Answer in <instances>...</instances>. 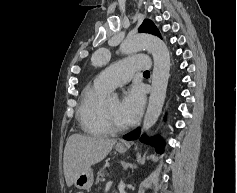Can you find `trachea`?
I'll list each match as a JSON object with an SVG mask.
<instances>
[{
	"label": "trachea",
	"mask_w": 237,
	"mask_h": 193,
	"mask_svg": "<svg viewBox=\"0 0 237 193\" xmlns=\"http://www.w3.org/2000/svg\"><path fill=\"white\" fill-rule=\"evenodd\" d=\"M144 74L150 75V72L149 71H145Z\"/></svg>",
	"instance_id": "1"
}]
</instances>
